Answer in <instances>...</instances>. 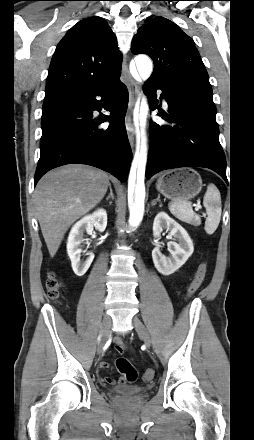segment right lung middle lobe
<instances>
[{
    "instance_id": "right-lung-middle-lobe-1",
    "label": "right lung middle lobe",
    "mask_w": 254,
    "mask_h": 440,
    "mask_svg": "<svg viewBox=\"0 0 254 440\" xmlns=\"http://www.w3.org/2000/svg\"><path fill=\"white\" fill-rule=\"evenodd\" d=\"M51 106H52L51 100L45 99L43 107H42V113H45L46 111H48Z\"/></svg>"
}]
</instances>
